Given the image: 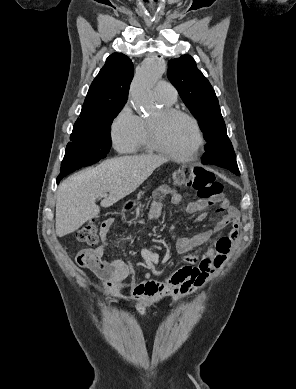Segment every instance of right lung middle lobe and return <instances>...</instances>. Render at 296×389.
<instances>
[{
    "mask_svg": "<svg viewBox=\"0 0 296 389\" xmlns=\"http://www.w3.org/2000/svg\"><path fill=\"white\" fill-rule=\"evenodd\" d=\"M121 109L122 106L77 119L66 147L61 172H73L106 157L111 146L110 126Z\"/></svg>",
    "mask_w": 296,
    "mask_h": 389,
    "instance_id": "obj_1",
    "label": "right lung middle lobe"
}]
</instances>
